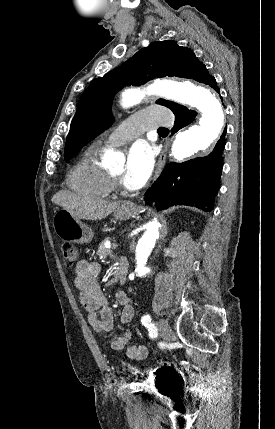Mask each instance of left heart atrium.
Segmentation results:
<instances>
[{"label": "left heart atrium", "mask_w": 275, "mask_h": 429, "mask_svg": "<svg viewBox=\"0 0 275 429\" xmlns=\"http://www.w3.org/2000/svg\"><path fill=\"white\" fill-rule=\"evenodd\" d=\"M153 161V149L147 142L134 143L128 152L122 177L123 185L130 190L142 187L151 173Z\"/></svg>", "instance_id": "39dd6f15"}]
</instances>
